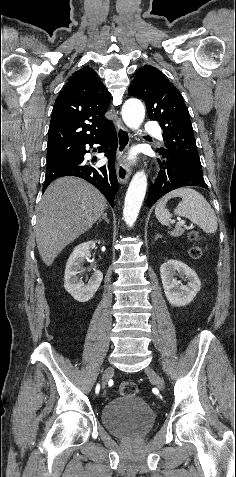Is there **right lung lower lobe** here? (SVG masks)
Here are the masks:
<instances>
[{
  "label": "right lung lower lobe",
  "mask_w": 236,
  "mask_h": 477,
  "mask_svg": "<svg viewBox=\"0 0 236 477\" xmlns=\"http://www.w3.org/2000/svg\"><path fill=\"white\" fill-rule=\"evenodd\" d=\"M90 146L99 144V152H103L109 159L108 165L101 167H93L84 161V155L88 151L85 145ZM118 140L116 130L111 123L103 132L97 134L80 146L76 152L55 165L47 166L43 191L55 179L63 176H76L83 178L96 186L106 197L107 201L113 207L114 197L118 191V181L115 171V151L117 149Z\"/></svg>",
  "instance_id": "obj_1"
}]
</instances>
